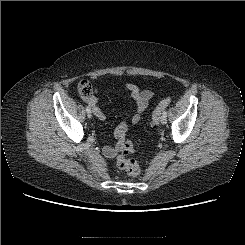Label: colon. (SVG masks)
Returning a JSON list of instances; mask_svg holds the SVG:
<instances>
[{
	"instance_id": "5ec220e1",
	"label": "colon",
	"mask_w": 245,
	"mask_h": 245,
	"mask_svg": "<svg viewBox=\"0 0 245 245\" xmlns=\"http://www.w3.org/2000/svg\"><path fill=\"white\" fill-rule=\"evenodd\" d=\"M77 91L81 97L88 99L92 94V86L88 81L82 80L77 84ZM170 103V98H164L157 104L151 115V122L153 125L158 123L162 112L170 105ZM121 134L123 135V132H121ZM133 151V144L123 139L120 143V154L117 158V164L121 169L125 170L128 175L137 177L140 175V167L136 160L130 157Z\"/></svg>"
}]
</instances>
